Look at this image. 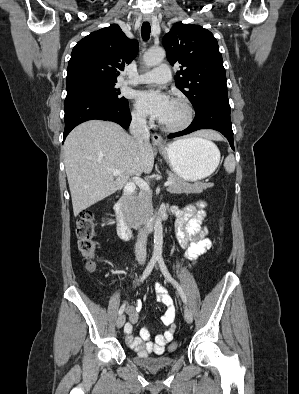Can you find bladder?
Wrapping results in <instances>:
<instances>
[{"label": "bladder", "instance_id": "31cf9c89", "mask_svg": "<svg viewBox=\"0 0 299 394\" xmlns=\"http://www.w3.org/2000/svg\"><path fill=\"white\" fill-rule=\"evenodd\" d=\"M133 361L138 367L151 373H157L163 369L172 366L175 362V356L174 355H162V356L136 355Z\"/></svg>", "mask_w": 299, "mask_h": 394}]
</instances>
